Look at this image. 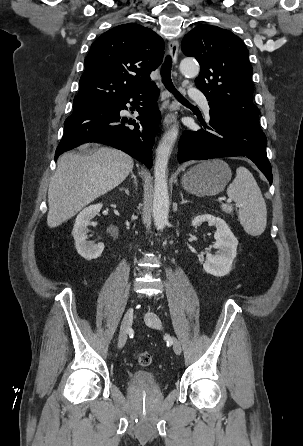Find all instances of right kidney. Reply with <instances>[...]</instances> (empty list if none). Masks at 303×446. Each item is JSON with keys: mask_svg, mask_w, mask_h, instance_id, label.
<instances>
[{"mask_svg": "<svg viewBox=\"0 0 303 446\" xmlns=\"http://www.w3.org/2000/svg\"><path fill=\"white\" fill-rule=\"evenodd\" d=\"M102 204L90 205L84 208L76 217L72 235L75 240V247L78 254L86 260L96 259L101 256L104 250V244L87 241V226L90 220L94 218L101 210Z\"/></svg>", "mask_w": 303, "mask_h": 446, "instance_id": "right-kidney-1", "label": "right kidney"}]
</instances>
